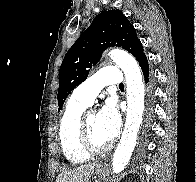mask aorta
<instances>
[{"label":"aorta","instance_id":"762f6f07","mask_svg":"<svg viewBox=\"0 0 196 182\" xmlns=\"http://www.w3.org/2000/svg\"><path fill=\"white\" fill-rule=\"evenodd\" d=\"M110 58L123 70L127 85V116L123 134L113 155V172L120 173L128 164L142 123L145 89L140 67L133 56L122 50H112Z\"/></svg>","mask_w":196,"mask_h":182}]
</instances>
